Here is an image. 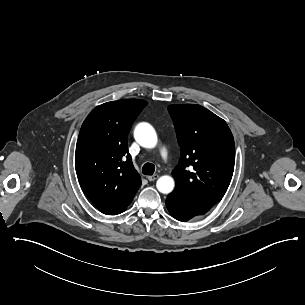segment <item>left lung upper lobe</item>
Segmentation results:
<instances>
[{
    "mask_svg": "<svg viewBox=\"0 0 305 305\" xmlns=\"http://www.w3.org/2000/svg\"><path fill=\"white\" fill-rule=\"evenodd\" d=\"M181 158L172 171L173 194L195 205L214 206L231 182L235 145L226 122L194 104L170 105Z\"/></svg>",
    "mask_w": 305,
    "mask_h": 305,
    "instance_id": "obj_1",
    "label": "left lung upper lobe"
}]
</instances>
